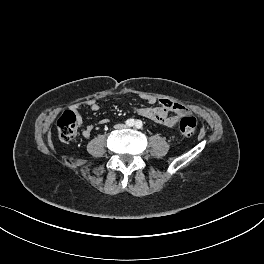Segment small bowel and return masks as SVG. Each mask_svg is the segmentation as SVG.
I'll list each match as a JSON object with an SVG mask.
<instances>
[{
  "label": "small bowel",
  "mask_w": 264,
  "mask_h": 264,
  "mask_svg": "<svg viewBox=\"0 0 264 264\" xmlns=\"http://www.w3.org/2000/svg\"><path fill=\"white\" fill-rule=\"evenodd\" d=\"M145 100H147L150 104H154L157 101V99L152 96L145 97ZM159 103L160 106L157 107H139L136 109V112L140 116H143L169 128H172L176 125L179 117L189 114L188 108L180 103L173 102L169 99H160ZM86 105L92 111H98L100 108L99 104L95 100L87 101ZM170 112H174L176 115L171 116L169 114ZM107 121V119H103L101 120V123H106ZM78 123L82 125V118L80 115H78ZM93 129V125H86L82 127V135L85 138H89Z\"/></svg>",
  "instance_id": "c3829d8e"
}]
</instances>
